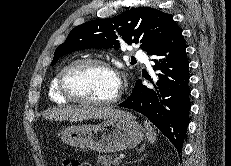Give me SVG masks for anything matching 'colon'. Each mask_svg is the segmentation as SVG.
I'll use <instances>...</instances> for the list:
<instances>
[{
  "instance_id": "5ec220e1",
  "label": "colon",
  "mask_w": 231,
  "mask_h": 166,
  "mask_svg": "<svg viewBox=\"0 0 231 166\" xmlns=\"http://www.w3.org/2000/svg\"><path fill=\"white\" fill-rule=\"evenodd\" d=\"M64 166H84L83 163H80L76 160H65L63 163Z\"/></svg>"
}]
</instances>
